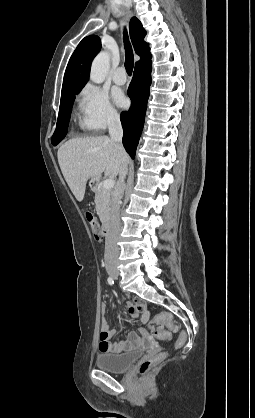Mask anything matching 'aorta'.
Segmentation results:
<instances>
[{
	"label": "aorta",
	"mask_w": 255,
	"mask_h": 418,
	"mask_svg": "<svg viewBox=\"0 0 255 418\" xmlns=\"http://www.w3.org/2000/svg\"><path fill=\"white\" fill-rule=\"evenodd\" d=\"M109 63V54L107 52H100L92 62L90 80L96 84L102 83L108 73Z\"/></svg>",
	"instance_id": "1"
}]
</instances>
